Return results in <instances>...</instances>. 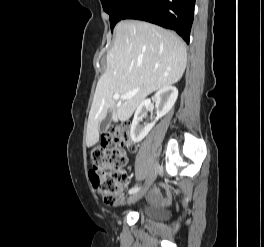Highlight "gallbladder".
Wrapping results in <instances>:
<instances>
[{
  "label": "gallbladder",
  "instance_id": "bac80fb5",
  "mask_svg": "<svg viewBox=\"0 0 264 247\" xmlns=\"http://www.w3.org/2000/svg\"><path fill=\"white\" fill-rule=\"evenodd\" d=\"M113 111H107V115L106 117L104 118V120H101L99 123H100V128H99V131L101 133H104L106 131V128L109 126L110 122H111V118H112V113Z\"/></svg>",
  "mask_w": 264,
  "mask_h": 247
}]
</instances>
